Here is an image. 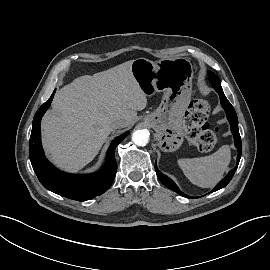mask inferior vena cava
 Here are the masks:
<instances>
[{"label":"inferior vena cava","mask_w":270,"mask_h":270,"mask_svg":"<svg viewBox=\"0 0 270 270\" xmlns=\"http://www.w3.org/2000/svg\"><path fill=\"white\" fill-rule=\"evenodd\" d=\"M125 126V122L123 120H115L112 122L113 129L123 128Z\"/></svg>","instance_id":"inferior-vena-cava-1"}]
</instances>
